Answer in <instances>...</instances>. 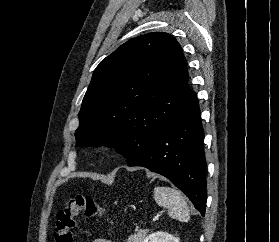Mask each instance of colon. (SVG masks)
Here are the masks:
<instances>
[{
    "label": "colon",
    "instance_id": "5ec220e1",
    "mask_svg": "<svg viewBox=\"0 0 279 242\" xmlns=\"http://www.w3.org/2000/svg\"><path fill=\"white\" fill-rule=\"evenodd\" d=\"M79 216L86 218L104 217L108 220L105 210L91 196L76 195L66 200L57 212L54 230L55 242H74L73 230Z\"/></svg>",
    "mask_w": 279,
    "mask_h": 242
}]
</instances>
